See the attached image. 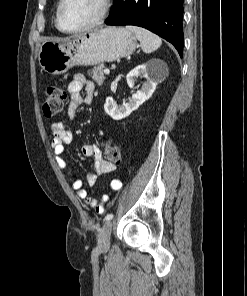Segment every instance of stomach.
<instances>
[{
	"label": "stomach",
	"mask_w": 247,
	"mask_h": 296,
	"mask_svg": "<svg viewBox=\"0 0 247 296\" xmlns=\"http://www.w3.org/2000/svg\"><path fill=\"white\" fill-rule=\"evenodd\" d=\"M136 36L120 27L81 33L66 41H45L38 60L42 69L52 75L66 73L74 66H94L133 54Z\"/></svg>",
	"instance_id": "stomach-1"
}]
</instances>
